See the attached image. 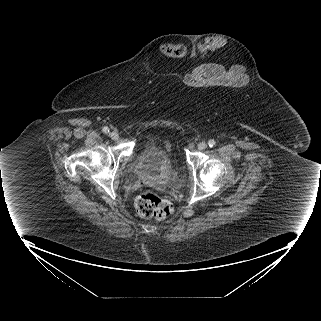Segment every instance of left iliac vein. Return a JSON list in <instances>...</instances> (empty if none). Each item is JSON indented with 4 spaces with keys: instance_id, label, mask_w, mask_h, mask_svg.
Segmentation results:
<instances>
[{
    "instance_id": "obj_1",
    "label": "left iliac vein",
    "mask_w": 321,
    "mask_h": 321,
    "mask_svg": "<svg viewBox=\"0 0 321 321\" xmlns=\"http://www.w3.org/2000/svg\"><path fill=\"white\" fill-rule=\"evenodd\" d=\"M197 148L198 150L202 151V150H205L207 148V144L205 142H200L198 145H197Z\"/></svg>"
}]
</instances>
